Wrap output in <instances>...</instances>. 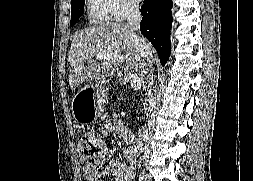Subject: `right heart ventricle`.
<instances>
[{"label": "right heart ventricle", "instance_id": "e07e8e85", "mask_svg": "<svg viewBox=\"0 0 253 181\" xmlns=\"http://www.w3.org/2000/svg\"><path fill=\"white\" fill-rule=\"evenodd\" d=\"M87 20L90 24H108L112 21L109 0H85Z\"/></svg>", "mask_w": 253, "mask_h": 181}]
</instances>
